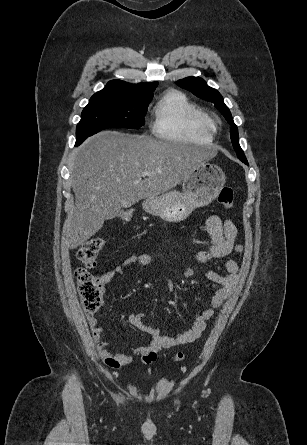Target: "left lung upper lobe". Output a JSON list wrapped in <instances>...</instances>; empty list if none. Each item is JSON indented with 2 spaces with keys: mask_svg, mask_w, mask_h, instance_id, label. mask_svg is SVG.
<instances>
[{
  "mask_svg": "<svg viewBox=\"0 0 307 445\" xmlns=\"http://www.w3.org/2000/svg\"><path fill=\"white\" fill-rule=\"evenodd\" d=\"M176 83L180 87L191 91L197 97L214 103L215 107L221 112V114L225 117V119L231 125V130H230L231 141H232L233 147L237 153L238 158L243 163L247 164V160L244 155V152L239 145L237 126L234 124L231 113H230L228 107L224 104L221 94L217 90L209 87L206 84V82L202 78H199V77H187V78L177 81Z\"/></svg>",
  "mask_w": 307,
  "mask_h": 445,
  "instance_id": "obj_1",
  "label": "left lung upper lobe"
}]
</instances>
